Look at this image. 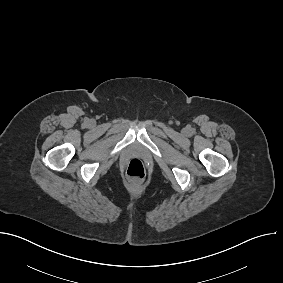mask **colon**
Wrapping results in <instances>:
<instances>
[{
    "instance_id": "1",
    "label": "colon",
    "mask_w": 283,
    "mask_h": 283,
    "mask_svg": "<svg viewBox=\"0 0 283 283\" xmlns=\"http://www.w3.org/2000/svg\"><path fill=\"white\" fill-rule=\"evenodd\" d=\"M127 175L132 179H142L145 176V167L139 159L129 162L126 170Z\"/></svg>"
}]
</instances>
